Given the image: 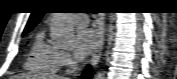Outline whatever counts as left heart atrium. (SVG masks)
I'll return each mask as SVG.
<instances>
[{"instance_id":"39dd6f15","label":"left heart atrium","mask_w":177,"mask_h":79,"mask_svg":"<svg viewBox=\"0 0 177 79\" xmlns=\"http://www.w3.org/2000/svg\"><path fill=\"white\" fill-rule=\"evenodd\" d=\"M97 45V36L93 29L81 28L75 37L74 54L77 59L87 57Z\"/></svg>"}]
</instances>
